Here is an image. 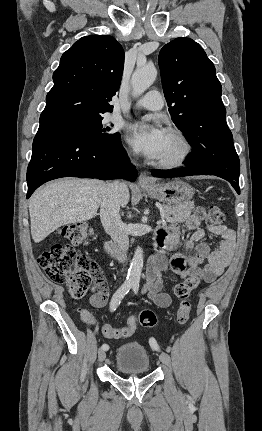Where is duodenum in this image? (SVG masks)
Returning a JSON list of instances; mask_svg holds the SVG:
<instances>
[{"label": "duodenum", "mask_w": 262, "mask_h": 431, "mask_svg": "<svg viewBox=\"0 0 262 431\" xmlns=\"http://www.w3.org/2000/svg\"><path fill=\"white\" fill-rule=\"evenodd\" d=\"M105 252L110 255L111 257H114L118 260H123V256L121 254V252L118 249V246L116 243L112 242V241H108L105 244Z\"/></svg>", "instance_id": "1"}]
</instances>
